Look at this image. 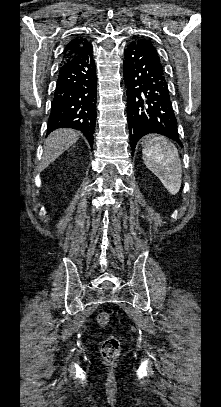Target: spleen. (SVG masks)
Returning a JSON list of instances; mask_svg holds the SVG:
<instances>
[{
	"mask_svg": "<svg viewBox=\"0 0 221 407\" xmlns=\"http://www.w3.org/2000/svg\"><path fill=\"white\" fill-rule=\"evenodd\" d=\"M143 161L163 186L172 194L179 192L182 170L177 148L162 136L147 139L142 150Z\"/></svg>",
	"mask_w": 221,
	"mask_h": 407,
	"instance_id": "obj_1",
	"label": "spleen"
}]
</instances>
